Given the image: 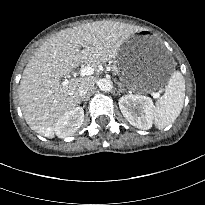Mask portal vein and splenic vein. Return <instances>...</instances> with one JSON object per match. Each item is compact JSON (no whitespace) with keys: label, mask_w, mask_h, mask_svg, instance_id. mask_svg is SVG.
<instances>
[{"label":"portal vein and splenic vein","mask_w":205,"mask_h":205,"mask_svg":"<svg viewBox=\"0 0 205 205\" xmlns=\"http://www.w3.org/2000/svg\"><path fill=\"white\" fill-rule=\"evenodd\" d=\"M94 72H95V69L92 66L87 65L81 69L80 75H81V77L90 76V75H93ZM64 83H67V80H65ZM153 96H154V98H158L159 93H154Z\"/></svg>","instance_id":"obj_1"}]
</instances>
